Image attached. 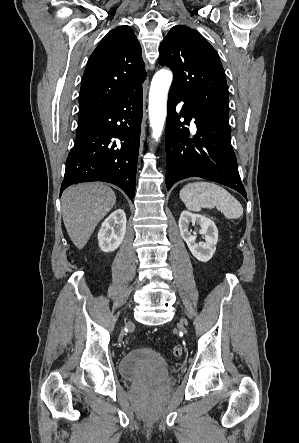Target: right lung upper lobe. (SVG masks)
I'll return each mask as SVG.
<instances>
[{"label":"right lung upper lobe","mask_w":299,"mask_h":443,"mask_svg":"<svg viewBox=\"0 0 299 443\" xmlns=\"http://www.w3.org/2000/svg\"><path fill=\"white\" fill-rule=\"evenodd\" d=\"M141 46L129 26L106 34L88 60L79 95V123L142 87Z\"/></svg>","instance_id":"1"}]
</instances>
